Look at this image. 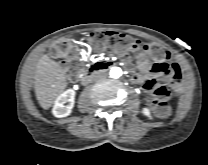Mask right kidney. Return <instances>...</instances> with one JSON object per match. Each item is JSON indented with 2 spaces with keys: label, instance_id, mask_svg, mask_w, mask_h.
<instances>
[{
  "label": "right kidney",
  "instance_id": "obj_1",
  "mask_svg": "<svg viewBox=\"0 0 208 165\" xmlns=\"http://www.w3.org/2000/svg\"><path fill=\"white\" fill-rule=\"evenodd\" d=\"M75 91L73 89H68L60 94L56 100L52 109V113L55 117L63 118L70 115L71 110L74 106ZM68 103V105H65Z\"/></svg>",
  "mask_w": 208,
  "mask_h": 165
}]
</instances>
